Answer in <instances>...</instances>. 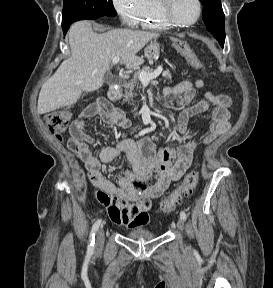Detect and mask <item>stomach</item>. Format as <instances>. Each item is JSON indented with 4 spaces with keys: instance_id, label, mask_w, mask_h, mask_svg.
Here are the masks:
<instances>
[{
    "instance_id": "obj_1",
    "label": "stomach",
    "mask_w": 273,
    "mask_h": 288,
    "mask_svg": "<svg viewBox=\"0 0 273 288\" xmlns=\"http://www.w3.org/2000/svg\"><path fill=\"white\" fill-rule=\"evenodd\" d=\"M145 57L149 60H155L160 54V45L157 41L150 42L145 48Z\"/></svg>"
}]
</instances>
